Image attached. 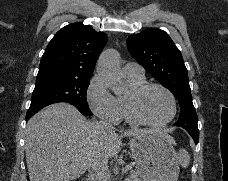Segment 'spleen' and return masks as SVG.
I'll use <instances>...</instances> for the list:
<instances>
[{"mask_svg":"<svg viewBox=\"0 0 228 181\" xmlns=\"http://www.w3.org/2000/svg\"><path fill=\"white\" fill-rule=\"evenodd\" d=\"M177 159L181 167H189L190 157L185 149H180Z\"/></svg>","mask_w":228,"mask_h":181,"instance_id":"obj_1","label":"spleen"}]
</instances>
